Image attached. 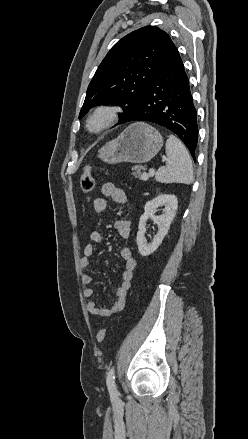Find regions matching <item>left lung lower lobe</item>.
I'll return each instance as SVG.
<instances>
[{"label":"left lung lower lobe","instance_id":"obj_1","mask_svg":"<svg viewBox=\"0 0 248 439\" xmlns=\"http://www.w3.org/2000/svg\"><path fill=\"white\" fill-rule=\"evenodd\" d=\"M131 121H149L171 130L185 143L195 160L197 113L177 48L123 123Z\"/></svg>","mask_w":248,"mask_h":439}]
</instances>
